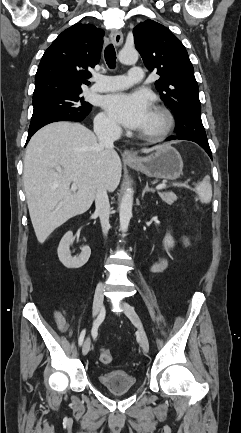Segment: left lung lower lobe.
I'll list each match as a JSON object with an SVG mask.
<instances>
[{
    "instance_id": "1",
    "label": "left lung lower lobe",
    "mask_w": 241,
    "mask_h": 433,
    "mask_svg": "<svg viewBox=\"0 0 241 433\" xmlns=\"http://www.w3.org/2000/svg\"><path fill=\"white\" fill-rule=\"evenodd\" d=\"M173 139H183V138H181V137H170L167 140H173ZM184 140H186V139H184ZM199 145L201 147H203L206 150V152L208 153V155L212 158V153H211L210 147L207 146V145H201V144H199Z\"/></svg>"
}]
</instances>
